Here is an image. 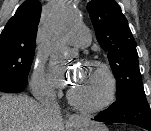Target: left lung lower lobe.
<instances>
[{
    "instance_id": "obj_1",
    "label": "left lung lower lobe",
    "mask_w": 151,
    "mask_h": 131,
    "mask_svg": "<svg viewBox=\"0 0 151 131\" xmlns=\"http://www.w3.org/2000/svg\"><path fill=\"white\" fill-rule=\"evenodd\" d=\"M95 121L108 123H128L151 131V109L145 92L136 90L114 102L108 109L100 112Z\"/></svg>"
}]
</instances>
